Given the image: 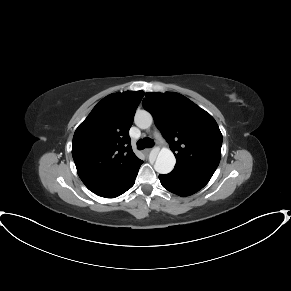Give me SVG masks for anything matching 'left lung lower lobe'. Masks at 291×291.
<instances>
[{
	"label": "left lung lower lobe",
	"instance_id": "0a47b994",
	"mask_svg": "<svg viewBox=\"0 0 291 291\" xmlns=\"http://www.w3.org/2000/svg\"><path fill=\"white\" fill-rule=\"evenodd\" d=\"M211 177L173 169L167 175H159L164 188L179 196H188L203 188Z\"/></svg>",
	"mask_w": 291,
	"mask_h": 291
}]
</instances>
